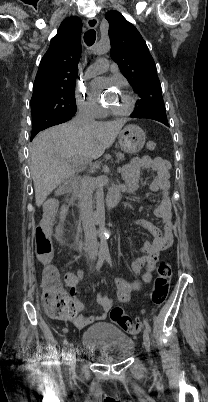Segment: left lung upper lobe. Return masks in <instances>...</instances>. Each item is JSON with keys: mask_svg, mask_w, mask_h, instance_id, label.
Segmentation results:
<instances>
[{"mask_svg": "<svg viewBox=\"0 0 208 402\" xmlns=\"http://www.w3.org/2000/svg\"><path fill=\"white\" fill-rule=\"evenodd\" d=\"M106 19L109 22L111 57L141 98L131 116L168 123L156 65L146 42L136 27L120 13L109 11Z\"/></svg>", "mask_w": 208, "mask_h": 402, "instance_id": "left-lung-upper-lobe-1", "label": "left lung upper lobe"}]
</instances>
